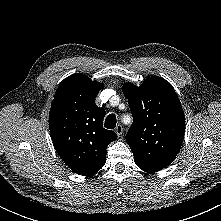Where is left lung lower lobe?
Segmentation results:
<instances>
[{
    "label": "left lung lower lobe",
    "instance_id": "0a47b994",
    "mask_svg": "<svg viewBox=\"0 0 221 221\" xmlns=\"http://www.w3.org/2000/svg\"><path fill=\"white\" fill-rule=\"evenodd\" d=\"M145 172H149V173H153V172H157L159 170H144Z\"/></svg>",
    "mask_w": 221,
    "mask_h": 221
}]
</instances>
